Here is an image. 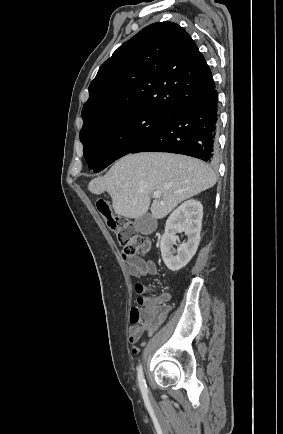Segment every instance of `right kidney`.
Returning a JSON list of instances; mask_svg holds the SVG:
<instances>
[{
    "label": "right kidney",
    "mask_w": 283,
    "mask_h": 434,
    "mask_svg": "<svg viewBox=\"0 0 283 434\" xmlns=\"http://www.w3.org/2000/svg\"><path fill=\"white\" fill-rule=\"evenodd\" d=\"M203 218V206L197 200H188L175 209L166 221L165 233L160 242L163 261L171 271H178L188 264L195 255L199 242ZM185 231L186 243L176 245L179 232Z\"/></svg>",
    "instance_id": "1"
}]
</instances>
